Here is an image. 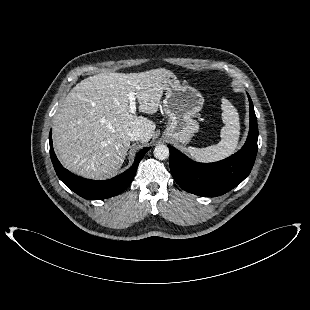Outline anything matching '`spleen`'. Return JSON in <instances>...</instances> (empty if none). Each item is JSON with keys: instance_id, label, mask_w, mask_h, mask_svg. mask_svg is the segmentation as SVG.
Listing matches in <instances>:
<instances>
[{"instance_id": "spleen-1", "label": "spleen", "mask_w": 310, "mask_h": 310, "mask_svg": "<svg viewBox=\"0 0 310 310\" xmlns=\"http://www.w3.org/2000/svg\"><path fill=\"white\" fill-rule=\"evenodd\" d=\"M222 121L225 126L221 129V141L216 145L205 148L188 147V154L200 162H215L234 153L240 135L239 115L235 107L225 98L222 99Z\"/></svg>"}]
</instances>
